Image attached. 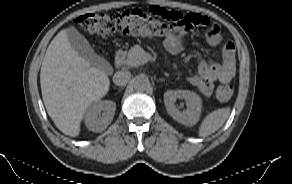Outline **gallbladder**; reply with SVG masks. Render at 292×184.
Instances as JSON below:
<instances>
[{
  "label": "gallbladder",
  "instance_id": "1",
  "mask_svg": "<svg viewBox=\"0 0 292 184\" xmlns=\"http://www.w3.org/2000/svg\"><path fill=\"white\" fill-rule=\"evenodd\" d=\"M67 38L71 47L92 66L103 71L109 67L107 61L95 53L87 39L75 28L71 27L67 30Z\"/></svg>",
  "mask_w": 292,
  "mask_h": 184
}]
</instances>
